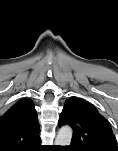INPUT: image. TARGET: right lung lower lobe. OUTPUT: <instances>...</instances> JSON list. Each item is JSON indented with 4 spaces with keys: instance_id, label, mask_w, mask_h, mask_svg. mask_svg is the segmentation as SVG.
<instances>
[{
    "instance_id": "98d812e1",
    "label": "right lung lower lobe",
    "mask_w": 118,
    "mask_h": 151,
    "mask_svg": "<svg viewBox=\"0 0 118 151\" xmlns=\"http://www.w3.org/2000/svg\"><path fill=\"white\" fill-rule=\"evenodd\" d=\"M40 148V145L37 146V148L35 150H38Z\"/></svg>"
}]
</instances>
